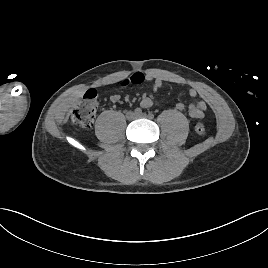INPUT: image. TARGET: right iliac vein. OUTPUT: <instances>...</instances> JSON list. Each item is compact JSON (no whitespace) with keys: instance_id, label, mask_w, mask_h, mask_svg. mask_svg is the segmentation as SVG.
Returning <instances> with one entry per match:
<instances>
[{"instance_id":"obj_1","label":"right iliac vein","mask_w":268,"mask_h":268,"mask_svg":"<svg viewBox=\"0 0 268 268\" xmlns=\"http://www.w3.org/2000/svg\"><path fill=\"white\" fill-rule=\"evenodd\" d=\"M136 117H137L136 113H134L132 111H129V112L126 113V118L128 120H134Z\"/></svg>"}]
</instances>
